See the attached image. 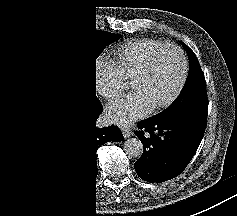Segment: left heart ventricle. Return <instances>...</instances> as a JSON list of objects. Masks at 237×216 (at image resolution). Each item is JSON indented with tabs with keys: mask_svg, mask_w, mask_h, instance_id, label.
Segmentation results:
<instances>
[{
	"mask_svg": "<svg viewBox=\"0 0 237 216\" xmlns=\"http://www.w3.org/2000/svg\"><path fill=\"white\" fill-rule=\"evenodd\" d=\"M177 79V63L172 58L160 60L149 70L146 81V92L154 99H163L175 85Z\"/></svg>",
	"mask_w": 237,
	"mask_h": 216,
	"instance_id": "obj_1",
	"label": "left heart ventricle"
}]
</instances>
